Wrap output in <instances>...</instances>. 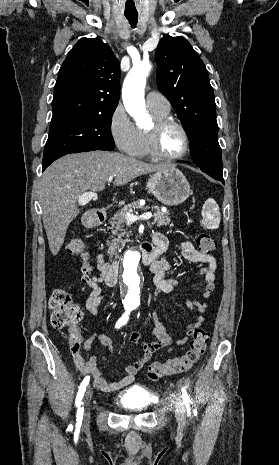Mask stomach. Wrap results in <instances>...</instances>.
Returning <instances> with one entry per match:
<instances>
[{"label": "stomach", "mask_w": 279, "mask_h": 465, "mask_svg": "<svg viewBox=\"0 0 279 465\" xmlns=\"http://www.w3.org/2000/svg\"><path fill=\"white\" fill-rule=\"evenodd\" d=\"M147 189L167 206L179 205L190 195V185L186 177L175 167L156 171L148 180Z\"/></svg>", "instance_id": "1"}]
</instances>
